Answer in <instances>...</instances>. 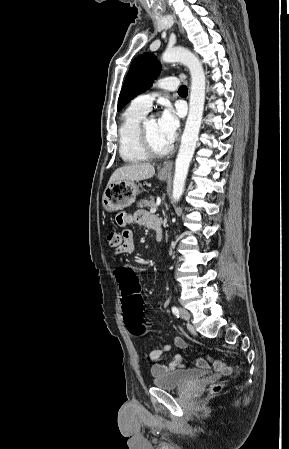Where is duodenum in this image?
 <instances>
[{
    "label": "duodenum",
    "instance_id": "1",
    "mask_svg": "<svg viewBox=\"0 0 289 449\" xmlns=\"http://www.w3.org/2000/svg\"><path fill=\"white\" fill-rule=\"evenodd\" d=\"M154 230H155V232H156V239H157L158 241H160L161 238H162V229H161V225H160V224H156V225L154 226Z\"/></svg>",
    "mask_w": 289,
    "mask_h": 449
}]
</instances>
